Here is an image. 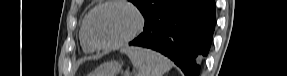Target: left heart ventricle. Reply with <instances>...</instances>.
I'll use <instances>...</instances> for the list:
<instances>
[{
  "mask_svg": "<svg viewBox=\"0 0 287 76\" xmlns=\"http://www.w3.org/2000/svg\"><path fill=\"white\" fill-rule=\"evenodd\" d=\"M135 24L136 18L128 8L111 5L95 12L91 19L90 32L96 42L108 44L127 35Z\"/></svg>",
  "mask_w": 287,
  "mask_h": 76,
  "instance_id": "obj_1",
  "label": "left heart ventricle"
}]
</instances>
